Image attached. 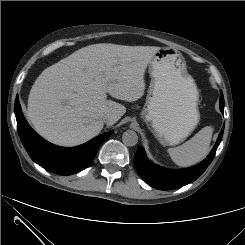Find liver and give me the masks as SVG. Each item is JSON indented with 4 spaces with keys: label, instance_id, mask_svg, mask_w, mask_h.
Segmentation results:
<instances>
[{
    "label": "liver",
    "instance_id": "6515ba94",
    "mask_svg": "<svg viewBox=\"0 0 245 245\" xmlns=\"http://www.w3.org/2000/svg\"><path fill=\"white\" fill-rule=\"evenodd\" d=\"M159 47L111 43L83 47L47 67L35 80L27 114L48 141L77 146L97 136L102 118L112 126L126 112L113 98L133 102L144 95V74Z\"/></svg>",
    "mask_w": 245,
    "mask_h": 245
}]
</instances>
